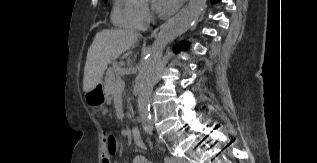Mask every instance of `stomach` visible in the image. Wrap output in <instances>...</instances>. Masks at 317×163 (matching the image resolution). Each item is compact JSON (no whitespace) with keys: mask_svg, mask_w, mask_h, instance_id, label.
Instances as JSON below:
<instances>
[{"mask_svg":"<svg viewBox=\"0 0 317 163\" xmlns=\"http://www.w3.org/2000/svg\"><path fill=\"white\" fill-rule=\"evenodd\" d=\"M87 104L91 107L103 106L108 100V94L105 91L103 83L97 84L91 91L85 95Z\"/></svg>","mask_w":317,"mask_h":163,"instance_id":"0dacf381","label":"stomach"}]
</instances>
